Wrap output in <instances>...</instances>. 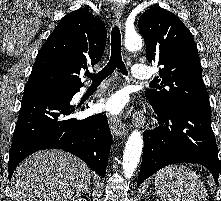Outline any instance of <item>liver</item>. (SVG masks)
<instances>
[{
    "mask_svg": "<svg viewBox=\"0 0 221 201\" xmlns=\"http://www.w3.org/2000/svg\"><path fill=\"white\" fill-rule=\"evenodd\" d=\"M91 170L63 150L39 151L25 159L11 179L15 201H74L91 187Z\"/></svg>",
    "mask_w": 221,
    "mask_h": 201,
    "instance_id": "1",
    "label": "liver"
}]
</instances>
